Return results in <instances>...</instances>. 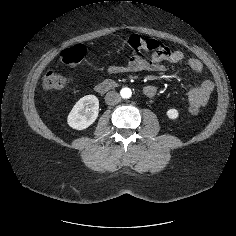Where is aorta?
Listing matches in <instances>:
<instances>
[{
    "mask_svg": "<svg viewBox=\"0 0 236 236\" xmlns=\"http://www.w3.org/2000/svg\"><path fill=\"white\" fill-rule=\"evenodd\" d=\"M120 95L122 98L127 99L131 97L132 91L130 88H122L120 91Z\"/></svg>",
    "mask_w": 236,
    "mask_h": 236,
    "instance_id": "1",
    "label": "aorta"
}]
</instances>
